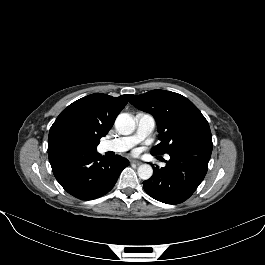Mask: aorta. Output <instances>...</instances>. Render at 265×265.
<instances>
[{"label": "aorta", "instance_id": "obj_1", "mask_svg": "<svg viewBox=\"0 0 265 265\" xmlns=\"http://www.w3.org/2000/svg\"><path fill=\"white\" fill-rule=\"evenodd\" d=\"M135 120L128 113H121L116 117L115 128L122 135H129L135 130ZM153 174V169L149 164H142L138 167V176L143 180H148Z\"/></svg>", "mask_w": 265, "mask_h": 265}]
</instances>
